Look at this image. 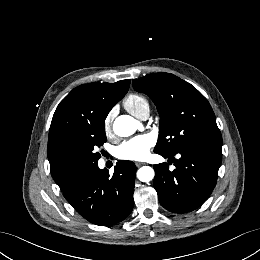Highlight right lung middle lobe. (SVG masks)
<instances>
[{"instance_id": "right-lung-middle-lobe-1", "label": "right lung middle lobe", "mask_w": 260, "mask_h": 260, "mask_svg": "<svg viewBox=\"0 0 260 260\" xmlns=\"http://www.w3.org/2000/svg\"><path fill=\"white\" fill-rule=\"evenodd\" d=\"M106 141L105 121L89 125L81 131L74 147V159L80 172L98 164L101 155L96 150Z\"/></svg>"}]
</instances>
